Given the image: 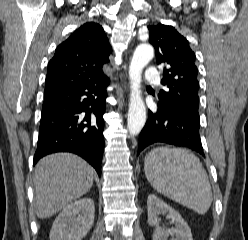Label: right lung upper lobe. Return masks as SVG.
<instances>
[{"instance_id": "1", "label": "right lung upper lobe", "mask_w": 248, "mask_h": 240, "mask_svg": "<svg viewBox=\"0 0 248 240\" xmlns=\"http://www.w3.org/2000/svg\"><path fill=\"white\" fill-rule=\"evenodd\" d=\"M111 52L103 28L85 23L57 47L48 64L44 95L106 77L102 68Z\"/></svg>"}]
</instances>
